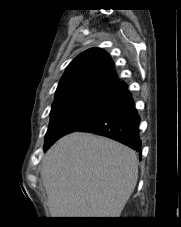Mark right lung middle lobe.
<instances>
[{
	"mask_svg": "<svg viewBox=\"0 0 181 227\" xmlns=\"http://www.w3.org/2000/svg\"><path fill=\"white\" fill-rule=\"evenodd\" d=\"M112 91H94L61 98L53 102L45 144L54 143L77 122L98 110Z\"/></svg>",
	"mask_w": 181,
	"mask_h": 227,
	"instance_id": "dd1d6c3e",
	"label": "right lung middle lobe"
}]
</instances>
